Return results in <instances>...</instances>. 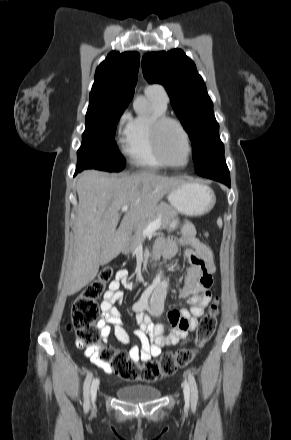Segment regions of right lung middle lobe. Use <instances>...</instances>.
<instances>
[{
    "label": "right lung middle lobe",
    "instance_id": "1",
    "mask_svg": "<svg viewBox=\"0 0 291 440\" xmlns=\"http://www.w3.org/2000/svg\"><path fill=\"white\" fill-rule=\"evenodd\" d=\"M128 105L96 104L89 105L82 144L77 152V168L121 171L125 159L117 149L114 140L116 125Z\"/></svg>",
    "mask_w": 291,
    "mask_h": 440
}]
</instances>
